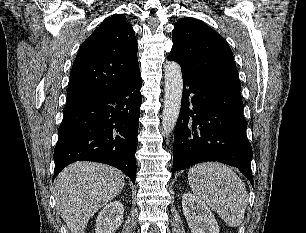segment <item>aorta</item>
Segmentation results:
<instances>
[{"instance_id":"obj_1","label":"aorta","mask_w":306,"mask_h":233,"mask_svg":"<svg viewBox=\"0 0 306 233\" xmlns=\"http://www.w3.org/2000/svg\"><path fill=\"white\" fill-rule=\"evenodd\" d=\"M165 95L162 114V133L169 135L177 122L182 99L183 78L177 62H168L165 66Z\"/></svg>"}]
</instances>
